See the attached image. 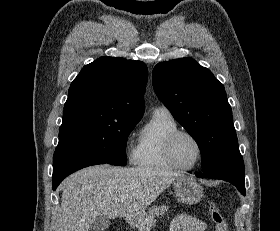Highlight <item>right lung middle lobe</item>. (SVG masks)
I'll use <instances>...</instances> for the list:
<instances>
[{
	"label": "right lung middle lobe",
	"instance_id": "dd1d6c3e",
	"mask_svg": "<svg viewBox=\"0 0 280 231\" xmlns=\"http://www.w3.org/2000/svg\"><path fill=\"white\" fill-rule=\"evenodd\" d=\"M138 121L102 117L63 119L54 154H76L125 166L127 138Z\"/></svg>",
	"mask_w": 280,
	"mask_h": 231
}]
</instances>
